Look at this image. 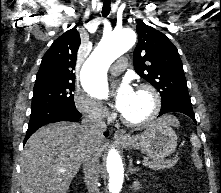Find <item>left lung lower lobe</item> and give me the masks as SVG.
Here are the masks:
<instances>
[{
    "label": "left lung lower lobe",
    "instance_id": "1",
    "mask_svg": "<svg viewBox=\"0 0 221 193\" xmlns=\"http://www.w3.org/2000/svg\"><path fill=\"white\" fill-rule=\"evenodd\" d=\"M169 112H180L186 114L196 123L190 97L173 99L165 105H162L159 116Z\"/></svg>",
    "mask_w": 221,
    "mask_h": 193
}]
</instances>
